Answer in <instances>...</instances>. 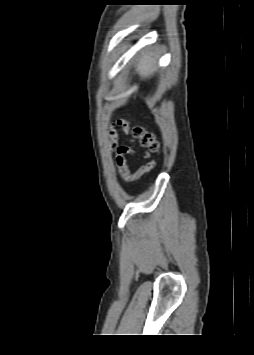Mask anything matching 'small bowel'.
I'll return each mask as SVG.
<instances>
[{"mask_svg":"<svg viewBox=\"0 0 254 355\" xmlns=\"http://www.w3.org/2000/svg\"><path fill=\"white\" fill-rule=\"evenodd\" d=\"M120 128L122 132L126 135L129 134V127L126 122L119 121L109 130V137L111 140V150L115 154V162L117 164L121 178L127 183H133L137 181L141 176L150 172L155 168V160L150 158L149 153H144L141 156L147 161L142 164L135 172H131L126 163V155L132 154L137 155V152L129 145H119L118 144V131Z\"/></svg>","mask_w":254,"mask_h":355,"instance_id":"obj_1","label":"small bowel"}]
</instances>
